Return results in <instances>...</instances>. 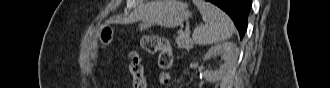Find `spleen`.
Returning <instances> with one entry per match:
<instances>
[{"label":"spleen","instance_id":"3e777b00","mask_svg":"<svg viewBox=\"0 0 330 88\" xmlns=\"http://www.w3.org/2000/svg\"><path fill=\"white\" fill-rule=\"evenodd\" d=\"M205 25L196 27L193 40L199 45H210L232 37L235 29L230 17L217 6L204 0H194Z\"/></svg>","mask_w":330,"mask_h":88}]
</instances>
